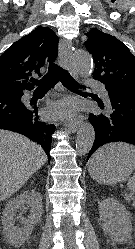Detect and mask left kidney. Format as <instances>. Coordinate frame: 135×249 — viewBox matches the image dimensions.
Returning a JSON list of instances; mask_svg holds the SVG:
<instances>
[{
    "label": "left kidney",
    "mask_w": 135,
    "mask_h": 249,
    "mask_svg": "<svg viewBox=\"0 0 135 249\" xmlns=\"http://www.w3.org/2000/svg\"><path fill=\"white\" fill-rule=\"evenodd\" d=\"M99 214L103 231L114 241L123 243L131 238L130 214L117 199L108 197L99 202Z\"/></svg>",
    "instance_id": "left-kidney-1"
}]
</instances>
